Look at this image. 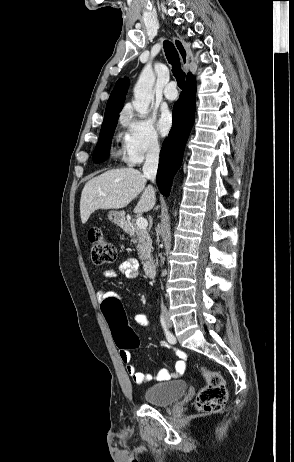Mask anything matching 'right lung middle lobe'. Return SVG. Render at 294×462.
Masks as SVG:
<instances>
[{
  "label": "right lung middle lobe",
  "mask_w": 294,
  "mask_h": 462,
  "mask_svg": "<svg viewBox=\"0 0 294 462\" xmlns=\"http://www.w3.org/2000/svg\"><path fill=\"white\" fill-rule=\"evenodd\" d=\"M119 115H112L105 117L101 127L99 140L93 153V160L95 162H103L107 159V154L110 150L111 140L110 135L114 132Z\"/></svg>",
  "instance_id": "obj_1"
}]
</instances>
